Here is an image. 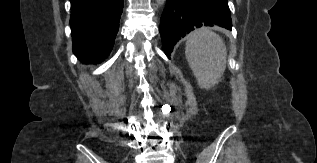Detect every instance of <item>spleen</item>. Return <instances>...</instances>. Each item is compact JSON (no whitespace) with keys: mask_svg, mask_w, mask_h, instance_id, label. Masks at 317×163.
<instances>
[{"mask_svg":"<svg viewBox=\"0 0 317 163\" xmlns=\"http://www.w3.org/2000/svg\"><path fill=\"white\" fill-rule=\"evenodd\" d=\"M185 56L200 87L208 90L221 79L227 49L218 34L208 28L195 30L187 36Z\"/></svg>","mask_w":317,"mask_h":163,"instance_id":"spleen-1","label":"spleen"}]
</instances>
